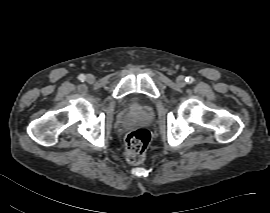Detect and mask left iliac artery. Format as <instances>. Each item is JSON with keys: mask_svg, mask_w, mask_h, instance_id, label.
I'll use <instances>...</instances> for the list:
<instances>
[{"mask_svg": "<svg viewBox=\"0 0 270 213\" xmlns=\"http://www.w3.org/2000/svg\"><path fill=\"white\" fill-rule=\"evenodd\" d=\"M185 81L188 82V83H192L193 78L192 77H186Z\"/></svg>", "mask_w": 270, "mask_h": 213, "instance_id": "left-iliac-artery-1", "label": "left iliac artery"}]
</instances>
